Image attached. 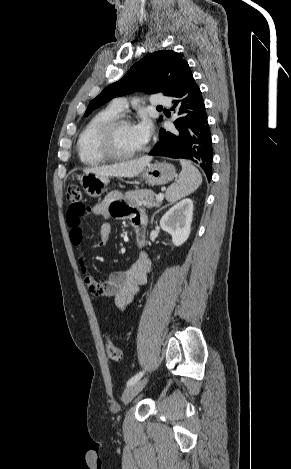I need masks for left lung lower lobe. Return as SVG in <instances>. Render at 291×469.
<instances>
[{
	"mask_svg": "<svg viewBox=\"0 0 291 469\" xmlns=\"http://www.w3.org/2000/svg\"><path fill=\"white\" fill-rule=\"evenodd\" d=\"M174 98L178 118L175 132L160 130V141L149 155L182 158L197 163L212 178L213 148L201 91L190 68L184 74L177 89L170 95Z\"/></svg>",
	"mask_w": 291,
	"mask_h": 469,
	"instance_id": "0a47b994",
	"label": "left lung lower lobe"
}]
</instances>
